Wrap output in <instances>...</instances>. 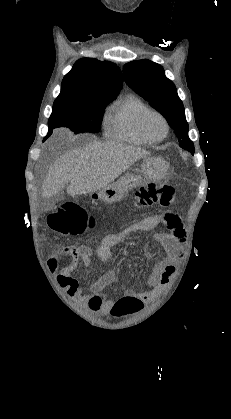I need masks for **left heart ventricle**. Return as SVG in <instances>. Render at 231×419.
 Wrapping results in <instances>:
<instances>
[{
    "label": "left heart ventricle",
    "instance_id": "1",
    "mask_svg": "<svg viewBox=\"0 0 231 419\" xmlns=\"http://www.w3.org/2000/svg\"><path fill=\"white\" fill-rule=\"evenodd\" d=\"M146 129L152 137L159 138L165 132V125L160 117L152 115L147 119Z\"/></svg>",
    "mask_w": 231,
    "mask_h": 419
}]
</instances>
